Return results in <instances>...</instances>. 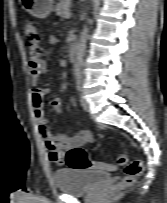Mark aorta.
Returning <instances> with one entry per match:
<instances>
[{
	"mask_svg": "<svg viewBox=\"0 0 167 203\" xmlns=\"http://www.w3.org/2000/svg\"><path fill=\"white\" fill-rule=\"evenodd\" d=\"M88 32H89L88 27L85 26L80 34L79 41L76 45L74 68H75V72L77 74L80 72L81 67L83 65V57H84L85 50H86Z\"/></svg>",
	"mask_w": 167,
	"mask_h": 203,
	"instance_id": "obj_1",
	"label": "aorta"
}]
</instances>
